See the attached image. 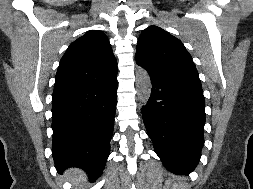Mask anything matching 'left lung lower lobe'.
Wrapping results in <instances>:
<instances>
[{"instance_id": "0a47b994", "label": "left lung lower lobe", "mask_w": 253, "mask_h": 189, "mask_svg": "<svg viewBox=\"0 0 253 189\" xmlns=\"http://www.w3.org/2000/svg\"><path fill=\"white\" fill-rule=\"evenodd\" d=\"M151 80V96L142 107L148 135L167 169L189 174L204 145L203 91L167 79Z\"/></svg>"}]
</instances>
